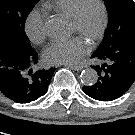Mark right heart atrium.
Segmentation results:
<instances>
[{
	"mask_svg": "<svg viewBox=\"0 0 135 135\" xmlns=\"http://www.w3.org/2000/svg\"><path fill=\"white\" fill-rule=\"evenodd\" d=\"M25 32L34 44H41L47 37L45 17L39 10H32L25 20Z\"/></svg>",
	"mask_w": 135,
	"mask_h": 135,
	"instance_id": "obj_1",
	"label": "right heart atrium"
}]
</instances>
